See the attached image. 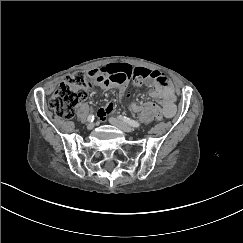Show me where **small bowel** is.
I'll use <instances>...</instances> for the list:
<instances>
[{
    "mask_svg": "<svg viewBox=\"0 0 243 243\" xmlns=\"http://www.w3.org/2000/svg\"><path fill=\"white\" fill-rule=\"evenodd\" d=\"M89 76L96 85L105 90L123 86L130 77H133L137 82L144 81L152 87L150 94L161 104L163 115L171 118L176 113L174 87L170 80L159 71L132 67L127 63H112L89 71ZM113 110L114 105L108 103L100 108L97 114L100 119H104Z\"/></svg>",
    "mask_w": 243,
    "mask_h": 243,
    "instance_id": "1",
    "label": "small bowel"
}]
</instances>
